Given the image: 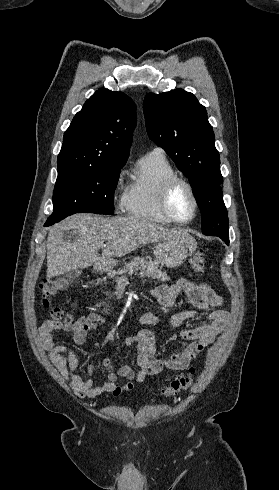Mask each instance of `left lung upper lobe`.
Listing matches in <instances>:
<instances>
[{"label":"left lung upper lobe","mask_w":279,"mask_h":490,"mask_svg":"<svg viewBox=\"0 0 279 490\" xmlns=\"http://www.w3.org/2000/svg\"><path fill=\"white\" fill-rule=\"evenodd\" d=\"M143 108L150 139L167 152L189 179L201 209L202 233L218 236L228 245L220 158L205 107L192 93L175 89L147 94Z\"/></svg>","instance_id":"5c2ea615"}]
</instances>
